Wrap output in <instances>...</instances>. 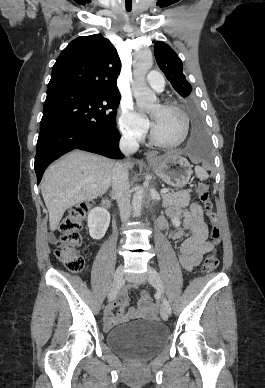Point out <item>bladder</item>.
Here are the masks:
<instances>
[{
  "instance_id": "1",
  "label": "bladder",
  "mask_w": 265,
  "mask_h": 388,
  "mask_svg": "<svg viewBox=\"0 0 265 388\" xmlns=\"http://www.w3.org/2000/svg\"><path fill=\"white\" fill-rule=\"evenodd\" d=\"M107 345L125 355L145 358L167 342V330L155 320L132 322L107 334Z\"/></svg>"
}]
</instances>
